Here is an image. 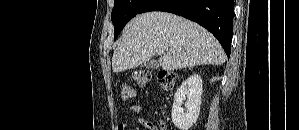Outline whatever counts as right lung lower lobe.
I'll list each match as a JSON object with an SVG mask.
<instances>
[{
    "instance_id": "1",
    "label": "right lung lower lobe",
    "mask_w": 299,
    "mask_h": 130,
    "mask_svg": "<svg viewBox=\"0 0 299 130\" xmlns=\"http://www.w3.org/2000/svg\"><path fill=\"white\" fill-rule=\"evenodd\" d=\"M165 11L197 22L220 42L227 56L231 53L233 0H149L139 13Z\"/></svg>"
}]
</instances>
